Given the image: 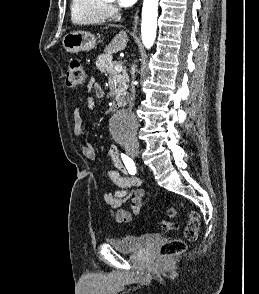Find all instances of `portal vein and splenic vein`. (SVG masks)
I'll list each match as a JSON object with an SVG mask.
<instances>
[{"label": "portal vein and splenic vein", "mask_w": 259, "mask_h": 294, "mask_svg": "<svg viewBox=\"0 0 259 294\" xmlns=\"http://www.w3.org/2000/svg\"><path fill=\"white\" fill-rule=\"evenodd\" d=\"M117 72H121L123 69V66L121 63H117L115 68H114Z\"/></svg>", "instance_id": "18ae733b"}]
</instances>
